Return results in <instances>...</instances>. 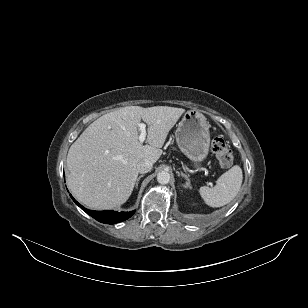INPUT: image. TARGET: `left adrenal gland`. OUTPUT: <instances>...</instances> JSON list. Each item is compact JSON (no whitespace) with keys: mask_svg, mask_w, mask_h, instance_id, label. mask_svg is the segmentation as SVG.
I'll return each instance as SVG.
<instances>
[{"mask_svg":"<svg viewBox=\"0 0 308 308\" xmlns=\"http://www.w3.org/2000/svg\"><path fill=\"white\" fill-rule=\"evenodd\" d=\"M180 174L186 180V183H185L184 187L191 189L192 187H191V183H190L189 177L185 173H183V172H181Z\"/></svg>","mask_w":308,"mask_h":308,"instance_id":"a2214340","label":"left adrenal gland"}]
</instances>
